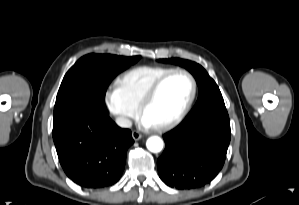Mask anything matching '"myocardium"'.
<instances>
[{"label": "myocardium", "mask_w": 299, "mask_h": 205, "mask_svg": "<svg viewBox=\"0 0 299 205\" xmlns=\"http://www.w3.org/2000/svg\"><path fill=\"white\" fill-rule=\"evenodd\" d=\"M175 74H185L186 76L189 77V79L191 81V85H192L191 94H190L188 101L182 108V110L175 117H173L172 119H170L164 123L153 126V129L156 131H164V130L170 129V128L176 126L177 124H179L185 118V116L188 114V112L190 111V109L194 103V100L196 98L197 81H196L195 77L193 76V74L186 69H181V68L173 69V70L169 71L168 73L164 74L163 76H161L157 81H155V83L146 92V94L144 95V97L141 100L139 107H138L139 115L141 117H143L146 109L153 102V100L155 99L156 95L158 94V92L161 89V87L163 86V84L170 77H172Z\"/></svg>", "instance_id": "obj_1"}]
</instances>
